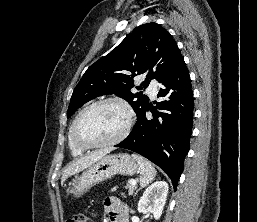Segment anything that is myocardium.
<instances>
[{
  "label": "myocardium",
  "instance_id": "f54148a6",
  "mask_svg": "<svg viewBox=\"0 0 257 222\" xmlns=\"http://www.w3.org/2000/svg\"><path fill=\"white\" fill-rule=\"evenodd\" d=\"M107 103H115V104L121 106L123 108V110L125 111L126 121H125L123 130L115 138L105 141V142L91 144V143H86V142L82 141L77 135L78 125H79L81 119L91 109H93L99 105H103V104H107ZM132 123H133V111H132L130 104L126 100H124L123 98H120V97H115V96L106 97V98H102V99H99V100L91 103L77 115V117L75 118L73 125H72L71 137H72L74 144L78 148L83 149V150H91V149L110 147V146H114V145H117L118 143L122 142L128 136V134L131 130V127H132Z\"/></svg>",
  "mask_w": 257,
  "mask_h": 222
}]
</instances>
